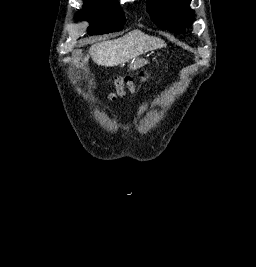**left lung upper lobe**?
Returning <instances> with one entry per match:
<instances>
[{
  "label": "left lung upper lobe",
  "instance_id": "5c2ea615",
  "mask_svg": "<svg viewBox=\"0 0 256 267\" xmlns=\"http://www.w3.org/2000/svg\"><path fill=\"white\" fill-rule=\"evenodd\" d=\"M191 0H147V10L155 24L163 29L181 32L194 19Z\"/></svg>",
  "mask_w": 256,
  "mask_h": 267
}]
</instances>
